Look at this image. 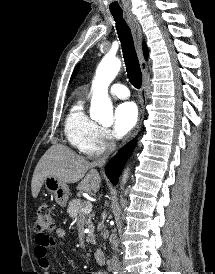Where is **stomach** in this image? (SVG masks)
<instances>
[{
  "label": "stomach",
  "instance_id": "obj_1",
  "mask_svg": "<svg viewBox=\"0 0 215 274\" xmlns=\"http://www.w3.org/2000/svg\"><path fill=\"white\" fill-rule=\"evenodd\" d=\"M44 184L47 191L54 196L56 203L64 207L70 194L68 185L53 176L46 177Z\"/></svg>",
  "mask_w": 215,
  "mask_h": 274
}]
</instances>
